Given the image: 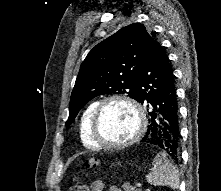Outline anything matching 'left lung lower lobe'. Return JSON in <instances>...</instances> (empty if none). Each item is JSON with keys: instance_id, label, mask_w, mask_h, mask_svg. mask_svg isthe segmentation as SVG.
I'll return each instance as SVG.
<instances>
[{"instance_id": "0a47b994", "label": "left lung lower lobe", "mask_w": 221, "mask_h": 191, "mask_svg": "<svg viewBox=\"0 0 221 191\" xmlns=\"http://www.w3.org/2000/svg\"><path fill=\"white\" fill-rule=\"evenodd\" d=\"M174 79L167 55L153 39L137 85V101L142 104L147 101V107L152 109L148 115L149 128L142 142H148L177 159L180 127Z\"/></svg>"}]
</instances>
